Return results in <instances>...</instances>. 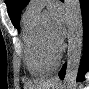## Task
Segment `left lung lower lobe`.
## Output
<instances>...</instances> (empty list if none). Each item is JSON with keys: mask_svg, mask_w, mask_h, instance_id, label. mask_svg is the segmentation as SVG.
Here are the masks:
<instances>
[{"mask_svg": "<svg viewBox=\"0 0 89 89\" xmlns=\"http://www.w3.org/2000/svg\"><path fill=\"white\" fill-rule=\"evenodd\" d=\"M81 5V12H82V18H83V29H84V52L86 53L82 59L81 66L79 69V73L77 76L78 81L84 80V74L89 69V57H88V51H89V4L88 0H80ZM65 68L64 65L62 70L59 73L60 79L63 80L65 75Z\"/></svg>", "mask_w": 89, "mask_h": 89, "instance_id": "0a47b994", "label": "left lung lower lobe"}]
</instances>
